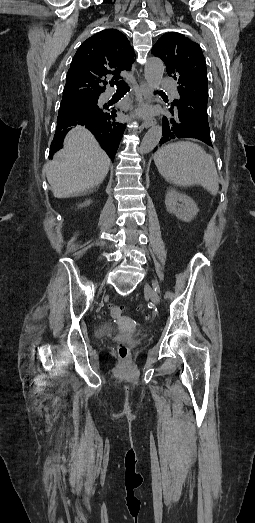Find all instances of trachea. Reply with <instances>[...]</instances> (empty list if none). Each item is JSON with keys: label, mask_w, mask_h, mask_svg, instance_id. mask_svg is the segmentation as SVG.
<instances>
[{"label": "trachea", "mask_w": 255, "mask_h": 523, "mask_svg": "<svg viewBox=\"0 0 255 523\" xmlns=\"http://www.w3.org/2000/svg\"><path fill=\"white\" fill-rule=\"evenodd\" d=\"M117 91H128L130 89L129 85L125 81L116 82ZM164 93L163 91H160Z\"/></svg>", "instance_id": "1"}]
</instances>
